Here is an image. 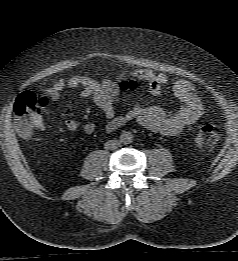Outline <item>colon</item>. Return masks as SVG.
<instances>
[{"label":"colon","mask_w":238,"mask_h":261,"mask_svg":"<svg viewBox=\"0 0 238 261\" xmlns=\"http://www.w3.org/2000/svg\"><path fill=\"white\" fill-rule=\"evenodd\" d=\"M136 83L133 80L124 81L121 84L122 90L134 89ZM49 103L42 96L38 97L32 92L23 93L14 106L15 128L22 137H29L39 129L42 124L41 110ZM220 139L218 130L210 124L203 125L198 129L195 141L203 149L215 146Z\"/></svg>","instance_id":"5ec220e1"}]
</instances>
